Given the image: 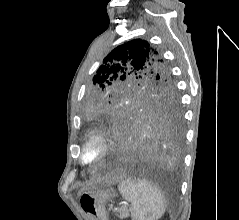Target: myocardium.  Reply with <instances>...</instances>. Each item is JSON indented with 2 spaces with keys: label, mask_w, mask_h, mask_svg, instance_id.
<instances>
[{
  "label": "myocardium",
  "mask_w": 239,
  "mask_h": 220,
  "mask_svg": "<svg viewBox=\"0 0 239 220\" xmlns=\"http://www.w3.org/2000/svg\"><path fill=\"white\" fill-rule=\"evenodd\" d=\"M96 147V155L92 158L87 157L90 147ZM111 141L105 131L100 128L92 129L83 143L80 160L85 164H94L102 160L110 151Z\"/></svg>",
  "instance_id": "f54148a6"
}]
</instances>
